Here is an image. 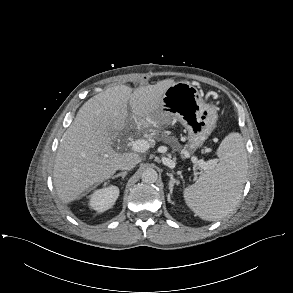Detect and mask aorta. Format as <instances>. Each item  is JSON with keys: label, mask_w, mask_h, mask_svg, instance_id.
Here are the masks:
<instances>
[{"label": "aorta", "mask_w": 293, "mask_h": 293, "mask_svg": "<svg viewBox=\"0 0 293 293\" xmlns=\"http://www.w3.org/2000/svg\"><path fill=\"white\" fill-rule=\"evenodd\" d=\"M142 182L144 183H155L158 179V174L156 170L148 168L143 171L141 175Z\"/></svg>", "instance_id": "aorta-1"}]
</instances>
